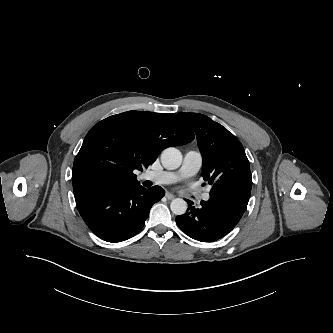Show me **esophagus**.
Returning a JSON list of instances; mask_svg holds the SVG:
<instances>
[{"instance_id":"1","label":"esophagus","mask_w":333,"mask_h":333,"mask_svg":"<svg viewBox=\"0 0 333 333\" xmlns=\"http://www.w3.org/2000/svg\"><path fill=\"white\" fill-rule=\"evenodd\" d=\"M165 197H166L168 200H172V199L175 198V196H174L172 193H169V192H167V193L165 194Z\"/></svg>"}]
</instances>
